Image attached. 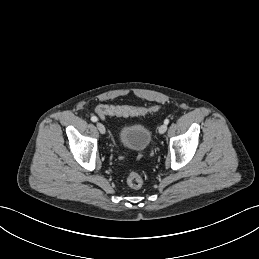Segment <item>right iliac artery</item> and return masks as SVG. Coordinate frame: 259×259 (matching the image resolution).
<instances>
[{
	"mask_svg": "<svg viewBox=\"0 0 259 259\" xmlns=\"http://www.w3.org/2000/svg\"><path fill=\"white\" fill-rule=\"evenodd\" d=\"M97 120H98V119H97L96 116H92V117H91V121L96 122Z\"/></svg>",
	"mask_w": 259,
	"mask_h": 259,
	"instance_id": "1",
	"label": "right iliac artery"
}]
</instances>
